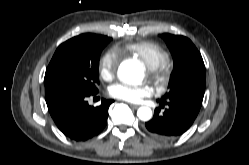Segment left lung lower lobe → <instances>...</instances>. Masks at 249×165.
I'll use <instances>...</instances> for the list:
<instances>
[{"instance_id": "obj_1", "label": "left lung lower lobe", "mask_w": 249, "mask_h": 165, "mask_svg": "<svg viewBox=\"0 0 249 165\" xmlns=\"http://www.w3.org/2000/svg\"><path fill=\"white\" fill-rule=\"evenodd\" d=\"M203 98L195 95H177L162 98L160 108L154 111L153 118L145 126L157 138L169 140L182 135L193 124L202 105Z\"/></svg>"}]
</instances>
